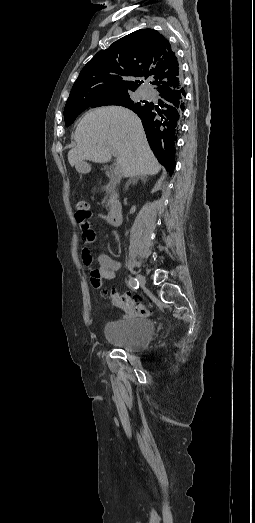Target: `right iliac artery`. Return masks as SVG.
Listing matches in <instances>:
<instances>
[{"label":"right iliac artery","instance_id":"1","mask_svg":"<svg viewBox=\"0 0 255 523\" xmlns=\"http://www.w3.org/2000/svg\"><path fill=\"white\" fill-rule=\"evenodd\" d=\"M128 285H129L132 289H134V290H136V289L139 288V282H138V280H137L136 278H133V277H130V278L128 279Z\"/></svg>","mask_w":255,"mask_h":523}]
</instances>
